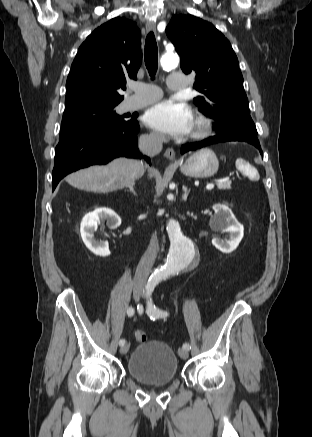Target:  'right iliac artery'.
<instances>
[{"mask_svg": "<svg viewBox=\"0 0 312 437\" xmlns=\"http://www.w3.org/2000/svg\"><path fill=\"white\" fill-rule=\"evenodd\" d=\"M137 309H138L139 313H142V312H143V306H142V305H138V306H137ZM134 313H135L134 308L129 307V308L127 309V314H128V316H133ZM119 344H120V346L124 345V344H125V340H124V339H121V340L119 341Z\"/></svg>", "mask_w": 312, "mask_h": 437, "instance_id": "1", "label": "right iliac artery"}]
</instances>
